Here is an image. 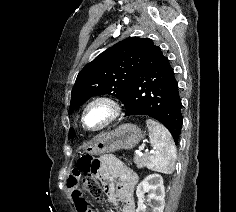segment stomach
Returning a JSON list of instances; mask_svg holds the SVG:
<instances>
[{
	"instance_id": "0dacf381",
	"label": "stomach",
	"mask_w": 236,
	"mask_h": 212,
	"mask_svg": "<svg viewBox=\"0 0 236 212\" xmlns=\"http://www.w3.org/2000/svg\"><path fill=\"white\" fill-rule=\"evenodd\" d=\"M143 138L141 129L134 124H123L112 131L99 134L87 148L92 155L112 153L120 149L129 150Z\"/></svg>"
}]
</instances>
